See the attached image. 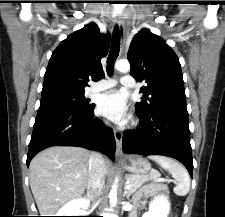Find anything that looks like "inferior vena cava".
<instances>
[{
  "label": "inferior vena cava",
  "instance_id": "1",
  "mask_svg": "<svg viewBox=\"0 0 225 217\" xmlns=\"http://www.w3.org/2000/svg\"><path fill=\"white\" fill-rule=\"evenodd\" d=\"M104 178V159L99 152H92L89 158V180L87 185V194L92 200L101 195L105 182Z\"/></svg>",
  "mask_w": 225,
  "mask_h": 217
}]
</instances>
